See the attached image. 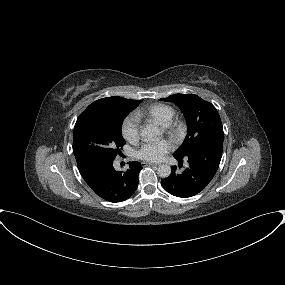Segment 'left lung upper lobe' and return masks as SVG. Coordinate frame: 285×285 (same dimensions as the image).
Returning <instances> with one entry per match:
<instances>
[{"mask_svg":"<svg viewBox=\"0 0 285 285\" xmlns=\"http://www.w3.org/2000/svg\"><path fill=\"white\" fill-rule=\"evenodd\" d=\"M161 100L172 101L179 106L187 121L186 138L174 155L184 157L206 144L223 142L221 119L211 103L195 94H174Z\"/></svg>","mask_w":285,"mask_h":285,"instance_id":"5c2ea615","label":"left lung upper lobe"}]
</instances>
